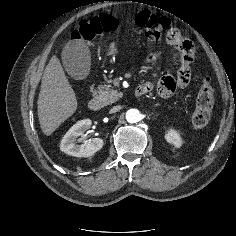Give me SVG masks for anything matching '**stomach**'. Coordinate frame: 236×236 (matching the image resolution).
Segmentation results:
<instances>
[{"label": "stomach", "instance_id": "stomach-1", "mask_svg": "<svg viewBox=\"0 0 236 236\" xmlns=\"http://www.w3.org/2000/svg\"><path fill=\"white\" fill-rule=\"evenodd\" d=\"M118 53V47L116 46L115 43H112L109 47V50H108V55L110 56H114Z\"/></svg>", "mask_w": 236, "mask_h": 236}]
</instances>
